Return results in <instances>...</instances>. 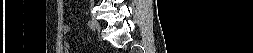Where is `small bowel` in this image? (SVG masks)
I'll use <instances>...</instances> for the list:
<instances>
[{
  "label": "small bowel",
  "mask_w": 253,
  "mask_h": 53,
  "mask_svg": "<svg viewBox=\"0 0 253 53\" xmlns=\"http://www.w3.org/2000/svg\"><path fill=\"white\" fill-rule=\"evenodd\" d=\"M63 31H64V33H68L70 31V27L68 25H65L63 27Z\"/></svg>",
  "instance_id": "1"
}]
</instances>
